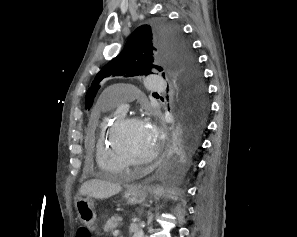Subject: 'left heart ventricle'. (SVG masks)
<instances>
[{"mask_svg":"<svg viewBox=\"0 0 297 237\" xmlns=\"http://www.w3.org/2000/svg\"><path fill=\"white\" fill-rule=\"evenodd\" d=\"M121 143L135 159H144L156 148L157 143L147 132L143 122L128 125L121 134Z\"/></svg>","mask_w":297,"mask_h":237,"instance_id":"left-heart-ventricle-1","label":"left heart ventricle"}]
</instances>
